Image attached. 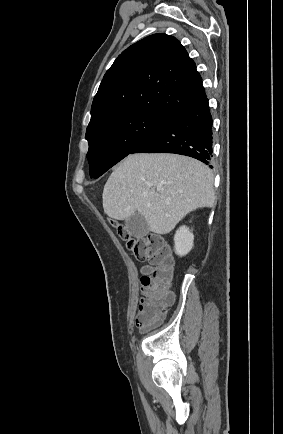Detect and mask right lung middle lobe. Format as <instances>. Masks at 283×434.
I'll return each mask as SVG.
<instances>
[{
	"instance_id": "obj_1",
	"label": "right lung middle lobe",
	"mask_w": 283,
	"mask_h": 434,
	"mask_svg": "<svg viewBox=\"0 0 283 434\" xmlns=\"http://www.w3.org/2000/svg\"><path fill=\"white\" fill-rule=\"evenodd\" d=\"M169 119L155 113L141 111L122 114L87 128L90 177L101 176Z\"/></svg>"
}]
</instances>
